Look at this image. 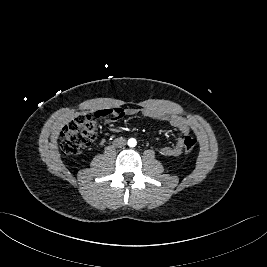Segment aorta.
I'll return each instance as SVG.
<instances>
[{
	"mask_svg": "<svg viewBox=\"0 0 267 267\" xmlns=\"http://www.w3.org/2000/svg\"><path fill=\"white\" fill-rule=\"evenodd\" d=\"M137 145V141H136V139H134V138H130L129 140H128V146L129 147H135Z\"/></svg>",
	"mask_w": 267,
	"mask_h": 267,
	"instance_id": "1",
	"label": "aorta"
}]
</instances>
